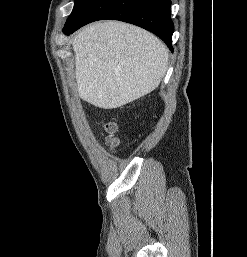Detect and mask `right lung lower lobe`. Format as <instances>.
Instances as JSON below:
<instances>
[{
	"label": "right lung lower lobe",
	"instance_id": "right-lung-lower-lobe-1",
	"mask_svg": "<svg viewBox=\"0 0 247 257\" xmlns=\"http://www.w3.org/2000/svg\"><path fill=\"white\" fill-rule=\"evenodd\" d=\"M171 0H94L84 14L63 28L66 35L97 20H120L140 26L157 36L173 51Z\"/></svg>",
	"mask_w": 247,
	"mask_h": 257
}]
</instances>
